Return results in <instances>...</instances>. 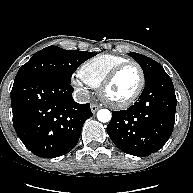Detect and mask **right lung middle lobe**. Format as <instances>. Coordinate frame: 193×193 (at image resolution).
Segmentation results:
<instances>
[{"mask_svg":"<svg viewBox=\"0 0 193 193\" xmlns=\"http://www.w3.org/2000/svg\"><path fill=\"white\" fill-rule=\"evenodd\" d=\"M96 55L94 52L65 50L57 46L46 47L19 69L15 80L28 77H49L71 83L74 71L87 59Z\"/></svg>","mask_w":193,"mask_h":193,"instance_id":"obj_1","label":"right lung middle lobe"}]
</instances>
